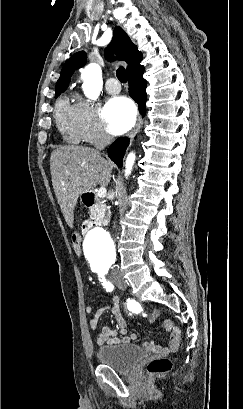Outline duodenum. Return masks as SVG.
<instances>
[{"label":"duodenum","instance_id":"obj_1","mask_svg":"<svg viewBox=\"0 0 243 409\" xmlns=\"http://www.w3.org/2000/svg\"><path fill=\"white\" fill-rule=\"evenodd\" d=\"M83 203L86 207L88 208H94L98 204V199L96 195L93 192H86L83 197H82ZM106 224L105 220L102 218H98L95 220L93 223H85L83 226L84 230H88L91 228L93 225L96 226H104Z\"/></svg>","mask_w":243,"mask_h":409}]
</instances>
